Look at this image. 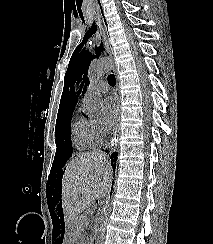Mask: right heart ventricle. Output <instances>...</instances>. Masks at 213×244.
Wrapping results in <instances>:
<instances>
[{
  "label": "right heart ventricle",
  "instance_id": "e07e8e85",
  "mask_svg": "<svg viewBox=\"0 0 213 244\" xmlns=\"http://www.w3.org/2000/svg\"><path fill=\"white\" fill-rule=\"evenodd\" d=\"M71 136L74 146L80 150L90 149L97 145L90 120L76 118L71 125Z\"/></svg>",
  "mask_w": 213,
  "mask_h": 244
}]
</instances>
